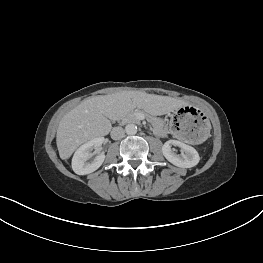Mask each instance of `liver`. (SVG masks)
<instances>
[{
    "label": "liver",
    "instance_id": "liver-1",
    "mask_svg": "<svg viewBox=\"0 0 263 263\" xmlns=\"http://www.w3.org/2000/svg\"><path fill=\"white\" fill-rule=\"evenodd\" d=\"M185 105V102L140 91H121L83 100L60 121L56 143L60 158L68 159L83 143L107 135L111 120H118L138 107L154 115H164Z\"/></svg>",
    "mask_w": 263,
    "mask_h": 263
}]
</instances>
